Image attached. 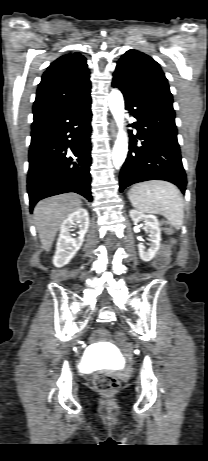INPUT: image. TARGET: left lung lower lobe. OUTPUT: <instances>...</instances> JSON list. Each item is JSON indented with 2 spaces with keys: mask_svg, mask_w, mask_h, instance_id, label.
Wrapping results in <instances>:
<instances>
[{
  "mask_svg": "<svg viewBox=\"0 0 208 461\" xmlns=\"http://www.w3.org/2000/svg\"><path fill=\"white\" fill-rule=\"evenodd\" d=\"M112 86L124 95L125 108L136 121L137 130L129 132V153L120 172V192L126 187L147 180L174 183L185 193L187 179L177 141L173 102L139 95L113 79Z\"/></svg>",
  "mask_w": 208,
  "mask_h": 461,
  "instance_id": "left-lung-lower-lobe-1",
  "label": "left lung lower lobe"
}]
</instances>
